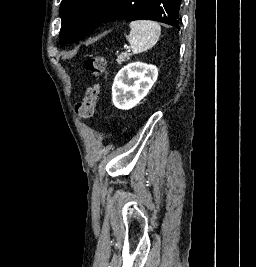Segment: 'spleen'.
Masks as SVG:
<instances>
[{
	"label": "spleen",
	"mask_w": 256,
	"mask_h": 267,
	"mask_svg": "<svg viewBox=\"0 0 256 267\" xmlns=\"http://www.w3.org/2000/svg\"><path fill=\"white\" fill-rule=\"evenodd\" d=\"M131 30L129 36H126L133 54L147 52L157 44L161 28L157 22L151 20H136L129 24Z\"/></svg>",
	"instance_id": "spleen-1"
}]
</instances>
